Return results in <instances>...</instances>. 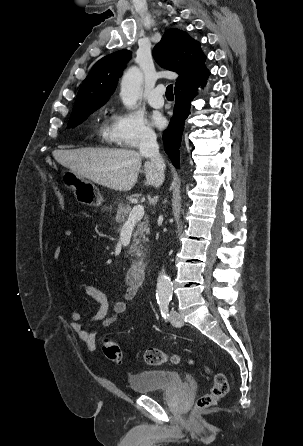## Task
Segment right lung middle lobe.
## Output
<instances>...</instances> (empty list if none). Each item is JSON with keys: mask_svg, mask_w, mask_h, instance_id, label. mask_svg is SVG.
<instances>
[{"mask_svg": "<svg viewBox=\"0 0 303 446\" xmlns=\"http://www.w3.org/2000/svg\"><path fill=\"white\" fill-rule=\"evenodd\" d=\"M99 107L100 106L91 107V108H88V109H85V110H82L79 112L72 113L67 127L72 128V127H75L78 124L82 123L87 118L88 114L92 113Z\"/></svg>", "mask_w": 303, "mask_h": 446, "instance_id": "1", "label": "right lung middle lobe"}]
</instances>
